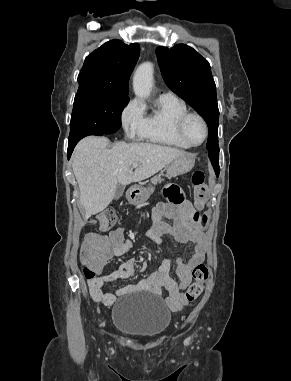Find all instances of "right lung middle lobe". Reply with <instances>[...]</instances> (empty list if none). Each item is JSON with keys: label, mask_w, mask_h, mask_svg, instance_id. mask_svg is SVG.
<instances>
[{"label": "right lung middle lobe", "mask_w": 291, "mask_h": 381, "mask_svg": "<svg viewBox=\"0 0 291 381\" xmlns=\"http://www.w3.org/2000/svg\"><path fill=\"white\" fill-rule=\"evenodd\" d=\"M128 101L127 96L108 91L78 90L68 142H78L88 135L115 133L121 126V113Z\"/></svg>", "instance_id": "right-lung-middle-lobe-1"}]
</instances>
